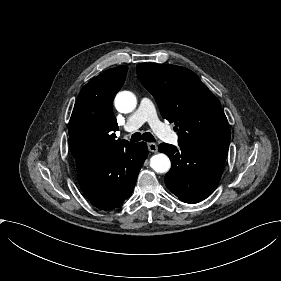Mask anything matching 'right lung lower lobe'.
I'll list each match as a JSON object with an SVG mask.
<instances>
[{
    "label": "right lung lower lobe",
    "instance_id": "98d812e1",
    "mask_svg": "<svg viewBox=\"0 0 281 281\" xmlns=\"http://www.w3.org/2000/svg\"><path fill=\"white\" fill-rule=\"evenodd\" d=\"M146 143H128L115 151L75 157L80 187L95 207L111 210L131 196L147 158Z\"/></svg>",
    "mask_w": 281,
    "mask_h": 281
}]
</instances>
